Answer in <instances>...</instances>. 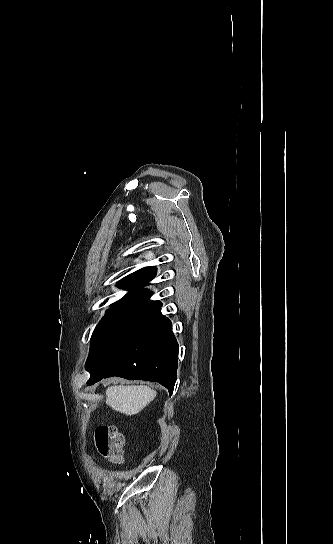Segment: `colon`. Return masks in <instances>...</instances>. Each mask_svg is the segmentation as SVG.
Listing matches in <instances>:
<instances>
[{
    "label": "colon",
    "instance_id": "5ec220e1",
    "mask_svg": "<svg viewBox=\"0 0 333 544\" xmlns=\"http://www.w3.org/2000/svg\"><path fill=\"white\" fill-rule=\"evenodd\" d=\"M96 448L101 456L114 464L123 461L124 437L114 427H98L94 433Z\"/></svg>",
    "mask_w": 333,
    "mask_h": 544
}]
</instances>
